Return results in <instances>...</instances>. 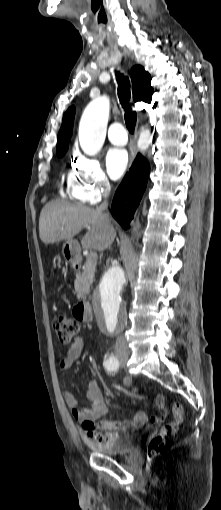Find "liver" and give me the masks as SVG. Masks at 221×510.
Wrapping results in <instances>:
<instances>
[{"label": "liver", "instance_id": "liver-1", "mask_svg": "<svg viewBox=\"0 0 221 510\" xmlns=\"http://www.w3.org/2000/svg\"><path fill=\"white\" fill-rule=\"evenodd\" d=\"M84 227L88 228L81 241L84 249L104 251L116 237L114 227L106 225L96 209L85 205L53 200L43 207L39 218V236L45 244L71 240Z\"/></svg>", "mask_w": 221, "mask_h": 510}]
</instances>
